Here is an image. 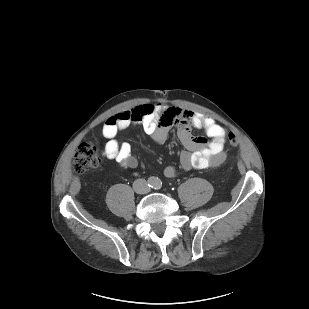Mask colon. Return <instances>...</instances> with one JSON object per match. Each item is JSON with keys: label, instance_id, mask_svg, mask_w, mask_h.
<instances>
[{"label": "colon", "instance_id": "1", "mask_svg": "<svg viewBox=\"0 0 309 309\" xmlns=\"http://www.w3.org/2000/svg\"><path fill=\"white\" fill-rule=\"evenodd\" d=\"M229 143L236 145L238 143L237 136L230 133L228 136ZM102 164V158L97 142H86L81 144L73 158V169L75 172L83 174L98 169Z\"/></svg>", "mask_w": 309, "mask_h": 309}]
</instances>
